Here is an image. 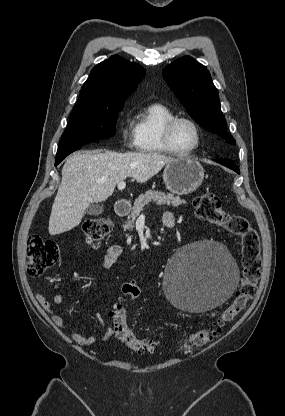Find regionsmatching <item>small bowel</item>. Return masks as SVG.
Returning <instances> with one entry per match:
<instances>
[{
	"instance_id": "c3829d8e",
	"label": "small bowel",
	"mask_w": 285,
	"mask_h": 416,
	"mask_svg": "<svg viewBox=\"0 0 285 416\" xmlns=\"http://www.w3.org/2000/svg\"><path fill=\"white\" fill-rule=\"evenodd\" d=\"M162 220H163V223L168 227H171L175 223V217L171 212L164 213ZM121 252H122L121 246L116 245V244L110 246L104 257V263H103L104 268H110L116 262ZM36 299L38 303L42 306V308L49 314L52 322L57 327L61 329H65V323H64L63 318L59 314L53 311L51 304L47 300V298L43 296L42 294H37ZM63 299L64 297L60 293H57L53 296V302L55 304H61L63 302ZM97 319L100 325L103 327V332L101 334L100 339L102 341L109 340L114 335L113 327L110 325H105L104 318L100 313L97 314ZM69 335L77 344L82 345V346H89V345L94 344L97 341V338L94 336H84L77 332H70Z\"/></svg>"
}]
</instances>
